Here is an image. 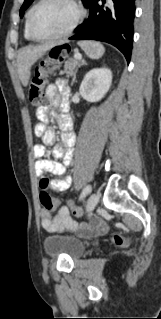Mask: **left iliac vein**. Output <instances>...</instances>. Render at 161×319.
Segmentation results:
<instances>
[{
  "mask_svg": "<svg viewBox=\"0 0 161 319\" xmlns=\"http://www.w3.org/2000/svg\"><path fill=\"white\" fill-rule=\"evenodd\" d=\"M97 203H98L97 194L96 193L91 194L86 203V213H91L95 209Z\"/></svg>",
  "mask_w": 161,
  "mask_h": 319,
  "instance_id": "obj_1",
  "label": "left iliac vein"
}]
</instances>
